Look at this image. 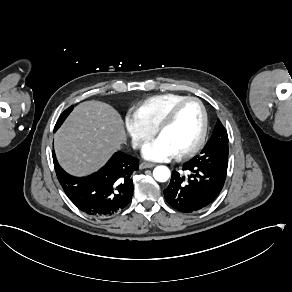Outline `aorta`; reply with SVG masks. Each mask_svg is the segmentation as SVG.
I'll use <instances>...</instances> for the list:
<instances>
[{"label": "aorta", "mask_w": 292, "mask_h": 292, "mask_svg": "<svg viewBox=\"0 0 292 292\" xmlns=\"http://www.w3.org/2000/svg\"><path fill=\"white\" fill-rule=\"evenodd\" d=\"M153 177L158 182H166L170 178V170L166 166H157L153 170Z\"/></svg>", "instance_id": "aorta-1"}]
</instances>
